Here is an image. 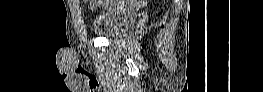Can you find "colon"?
<instances>
[{
	"mask_svg": "<svg viewBox=\"0 0 263 92\" xmlns=\"http://www.w3.org/2000/svg\"><path fill=\"white\" fill-rule=\"evenodd\" d=\"M98 2H100L101 4H108V3H110V4H112V3H115V2H120V1H109V0H107V1H98Z\"/></svg>",
	"mask_w": 263,
	"mask_h": 92,
	"instance_id": "1",
	"label": "colon"
}]
</instances>
